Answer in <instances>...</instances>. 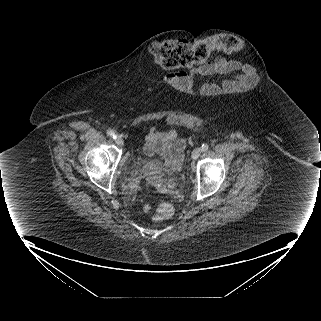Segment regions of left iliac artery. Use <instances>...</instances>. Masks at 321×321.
<instances>
[{
  "mask_svg": "<svg viewBox=\"0 0 321 321\" xmlns=\"http://www.w3.org/2000/svg\"><path fill=\"white\" fill-rule=\"evenodd\" d=\"M208 149H209V145H208V144H203V145L201 146V150H202L203 152L207 151Z\"/></svg>",
  "mask_w": 321,
  "mask_h": 321,
  "instance_id": "left-iliac-artery-1",
  "label": "left iliac artery"
}]
</instances>
